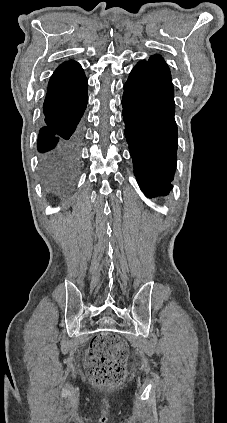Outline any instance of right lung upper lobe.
Listing matches in <instances>:
<instances>
[{
  "instance_id": "1",
  "label": "right lung upper lobe",
  "mask_w": 227,
  "mask_h": 423,
  "mask_svg": "<svg viewBox=\"0 0 227 423\" xmlns=\"http://www.w3.org/2000/svg\"><path fill=\"white\" fill-rule=\"evenodd\" d=\"M87 79L83 69L75 61L61 64L53 73L49 85L48 95L67 97L87 91Z\"/></svg>"
}]
</instances>
